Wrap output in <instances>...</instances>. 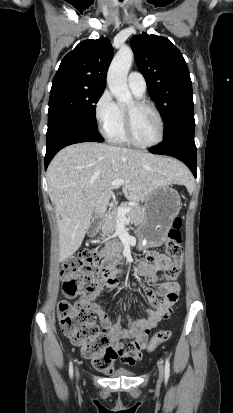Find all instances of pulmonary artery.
I'll return each mask as SVG.
<instances>
[{"mask_svg": "<svg viewBox=\"0 0 233 413\" xmlns=\"http://www.w3.org/2000/svg\"><path fill=\"white\" fill-rule=\"evenodd\" d=\"M128 86L130 90L138 97L145 94L147 89V84L144 76L137 71H133L128 75L127 79Z\"/></svg>", "mask_w": 233, "mask_h": 413, "instance_id": "e3ab8cb5", "label": "pulmonary artery"}]
</instances>
